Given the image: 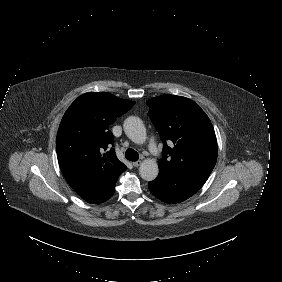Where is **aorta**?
<instances>
[{
	"mask_svg": "<svg viewBox=\"0 0 282 282\" xmlns=\"http://www.w3.org/2000/svg\"><path fill=\"white\" fill-rule=\"evenodd\" d=\"M123 129L127 137L133 142H144L146 130L143 121L138 116H128L123 122ZM158 173V165L154 160H144L139 167L140 177L145 181L155 180Z\"/></svg>",
	"mask_w": 282,
	"mask_h": 282,
	"instance_id": "aorta-1",
	"label": "aorta"
}]
</instances>
